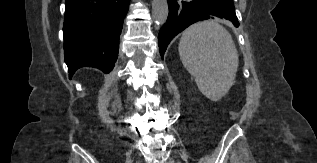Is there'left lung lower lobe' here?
Listing matches in <instances>:
<instances>
[{"mask_svg": "<svg viewBox=\"0 0 317 163\" xmlns=\"http://www.w3.org/2000/svg\"><path fill=\"white\" fill-rule=\"evenodd\" d=\"M168 6V19L159 32L162 57L172 38L197 21L218 17L239 26L233 0H168Z\"/></svg>", "mask_w": 317, "mask_h": 163, "instance_id": "left-lung-lower-lobe-1", "label": "left lung lower lobe"}]
</instances>
